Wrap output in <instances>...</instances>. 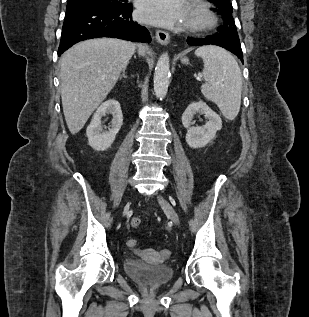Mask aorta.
Listing matches in <instances>:
<instances>
[{
	"instance_id": "obj_1",
	"label": "aorta",
	"mask_w": 309,
	"mask_h": 317,
	"mask_svg": "<svg viewBox=\"0 0 309 317\" xmlns=\"http://www.w3.org/2000/svg\"><path fill=\"white\" fill-rule=\"evenodd\" d=\"M170 78V62L167 53H163L157 61L154 73V92L157 98L163 99L168 91Z\"/></svg>"
}]
</instances>
